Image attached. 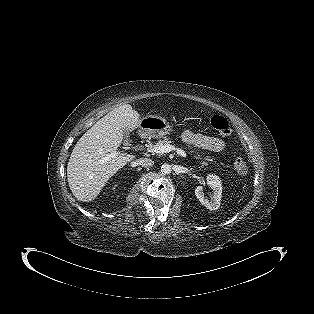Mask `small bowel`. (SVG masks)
Wrapping results in <instances>:
<instances>
[{"label": "small bowel", "instance_id": "c3829d8e", "mask_svg": "<svg viewBox=\"0 0 314 314\" xmlns=\"http://www.w3.org/2000/svg\"><path fill=\"white\" fill-rule=\"evenodd\" d=\"M182 140L188 145L201 150L210 152H220L226 148V143L216 137L206 136L195 133L189 129L183 130L181 133Z\"/></svg>", "mask_w": 314, "mask_h": 314}]
</instances>
